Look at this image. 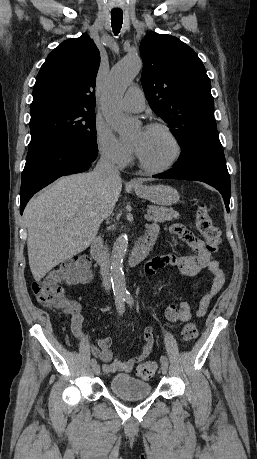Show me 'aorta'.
Listing matches in <instances>:
<instances>
[{"label":"aorta","instance_id":"762f6f07","mask_svg":"<svg viewBox=\"0 0 257 459\" xmlns=\"http://www.w3.org/2000/svg\"><path fill=\"white\" fill-rule=\"evenodd\" d=\"M142 61L138 56L126 57L111 70L104 90L105 115L112 128L118 133L121 141L126 142L135 137L137 122L120 112L116 103L120 100L130 83L139 73ZM128 248V236L121 234L115 241L111 254V282L117 300L127 296L123 259Z\"/></svg>","mask_w":257,"mask_h":459}]
</instances>
